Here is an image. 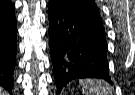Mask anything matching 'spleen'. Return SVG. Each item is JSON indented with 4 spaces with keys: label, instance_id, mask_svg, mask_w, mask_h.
<instances>
[{
    "label": "spleen",
    "instance_id": "obj_1",
    "mask_svg": "<svg viewBox=\"0 0 135 95\" xmlns=\"http://www.w3.org/2000/svg\"><path fill=\"white\" fill-rule=\"evenodd\" d=\"M83 95H112L107 82L99 79H84L79 82Z\"/></svg>",
    "mask_w": 135,
    "mask_h": 95
}]
</instances>
